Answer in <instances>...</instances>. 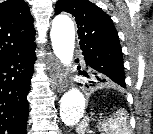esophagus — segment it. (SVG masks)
Wrapping results in <instances>:
<instances>
[{"mask_svg":"<svg viewBox=\"0 0 153 134\" xmlns=\"http://www.w3.org/2000/svg\"><path fill=\"white\" fill-rule=\"evenodd\" d=\"M48 65L52 86L57 90V92H64L67 86L60 76V63L52 54L49 55Z\"/></svg>","mask_w":153,"mask_h":134,"instance_id":"esophagus-1","label":"esophagus"}]
</instances>
